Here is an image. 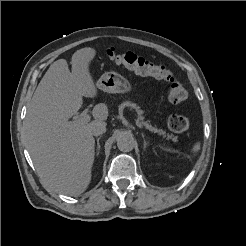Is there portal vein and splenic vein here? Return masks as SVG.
<instances>
[{"label": "portal vein and splenic vein", "instance_id": "obj_1", "mask_svg": "<svg viewBox=\"0 0 246 246\" xmlns=\"http://www.w3.org/2000/svg\"><path fill=\"white\" fill-rule=\"evenodd\" d=\"M91 117L87 113H82L79 117H74V121H70L71 124H86L90 121ZM136 125L143 129L144 125L139 122V120H136ZM147 129H150L151 127L149 125L146 126Z\"/></svg>", "mask_w": 246, "mask_h": 246}]
</instances>
